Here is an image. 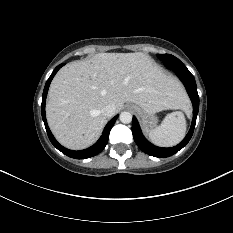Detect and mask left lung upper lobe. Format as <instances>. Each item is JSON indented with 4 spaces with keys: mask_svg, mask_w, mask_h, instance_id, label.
<instances>
[{
    "mask_svg": "<svg viewBox=\"0 0 233 233\" xmlns=\"http://www.w3.org/2000/svg\"><path fill=\"white\" fill-rule=\"evenodd\" d=\"M160 60L163 61L164 65L171 70H174V68L180 67V68H186L185 65L175 56L171 54H158L157 55Z\"/></svg>",
    "mask_w": 233,
    "mask_h": 233,
    "instance_id": "obj_1",
    "label": "left lung upper lobe"
}]
</instances>
